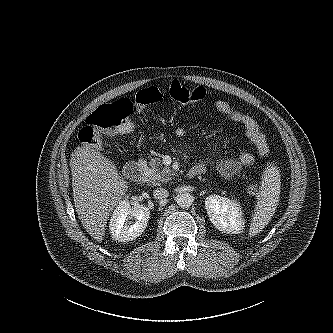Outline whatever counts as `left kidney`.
I'll return each instance as SVG.
<instances>
[{
    "instance_id": "obj_1",
    "label": "left kidney",
    "mask_w": 333,
    "mask_h": 333,
    "mask_svg": "<svg viewBox=\"0 0 333 333\" xmlns=\"http://www.w3.org/2000/svg\"><path fill=\"white\" fill-rule=\"evenodd\" d=\"M205 209L210 221L219 231L238 234L244 229L243 212L236 200L210 195L205 199Z\"/></svg>"
}]
</instances>
